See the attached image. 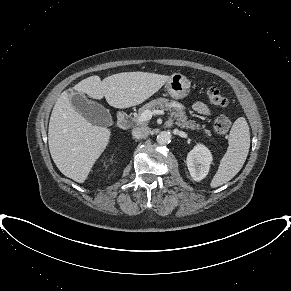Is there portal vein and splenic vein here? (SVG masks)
I'll return each mask as SVG.
<instances>
[{
    "instance_id": "18ae733b",
    "label": "portal vein and splenic vein",
    "mask_w": 291,
    "mask_h": 291,
    "mask_svg": "<svg viewBox=\"0 0 291 291\" xmlns=\"http://www.w3.org/2000/svg\"><path fill=\"white\" fill-rule=\"evenodd\" d=\"M153 115H164V111L163 110H154V111L146 110L138 118V123H142V122L150 120Z\"/></svg>"
}]
</instances>
